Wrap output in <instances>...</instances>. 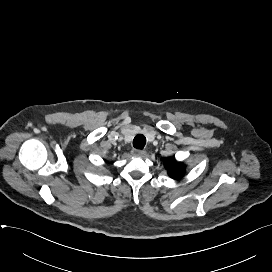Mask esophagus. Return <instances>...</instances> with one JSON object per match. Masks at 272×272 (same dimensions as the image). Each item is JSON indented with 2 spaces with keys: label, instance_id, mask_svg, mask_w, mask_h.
<instances>
[{
  "label": "esophagus",
  "instance_id": "esophagus-1",
  "mask_svg": "<svg viewBox=\"0 0 272 272\" xmlns=\"http://www.w3.org/2000/svg\"><path fill=\"white\" fill-rule=\"evenodd\" d=\"M133 154L136 156L144 157L146 155V151L134 149Z\"/></svg>",
  "mask_w": 272,
  "mask_h": 272
}]
</instances>
